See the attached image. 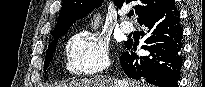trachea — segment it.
I'll return each instance as SVG.
<instances>
[{"mask_svg":"<svg viewBox=\"0 0 205 87\" xmlns=\"http://www.w3.org/2000/svg\"><path fill=\"white\" fill-rule=\"evenodd\" d=\"M133 14H134V11H130V12L128 13V17L133 16Z\"/></svg>","mask_w":205,"mask_h":87,"instance_id":"trachea-1","label":"trachea"}]
</instances>
